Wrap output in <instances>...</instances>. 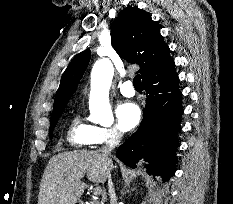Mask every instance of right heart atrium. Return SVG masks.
Here are the masks:
<instances>
[{
    "mask_svg": "<svg viewBox=\"0 0 233 204\" xmlns=\"http://www.w3.org/2000/svg\"><path fill=\"white\" fill-rule=\"evenodd\" d=\"M121 137L120 131L115 127L94 126L91 145L113 143Z\"/></svg>",
    "mask_w": 233,
    "mask_h": 204,
    "instance_id": "obj_1",
    "label": "right heart atrium"
}]
</instances>
